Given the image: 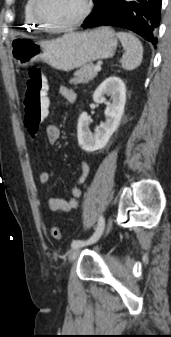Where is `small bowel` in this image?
<instances>
[{
	"label": "small bowel",
	"instance_id": "c3829d8e",
	"mask_svg": "<svg viewBox=\"0 0 171 337\" xmlns=\"http://www.w3.org/2000/svg\"><path fill=\"white\" fill-rule=\"evenodd\" d=\"M59 94L69 103H74L77 99V94L72 89L61 86L59 88ZM49 109V107H46ZM46 137L50 144H56L61 138V129L57 124H49L46 127ZM80 174L76 180V183L71 189V198L68 200L58 198V197H44L42 200L43 205L47 207L52 214H64L76 209L79 205V198L82 193L81 185L86 181L89 176L90 168L89 165L82 161L80 165ZM50 176L47 172H41L39 175V181L41 184L45 185L49 182Z\"/></svg>",
	"mask_w": 171,
	"mask_h": 337
}]
</instances>
